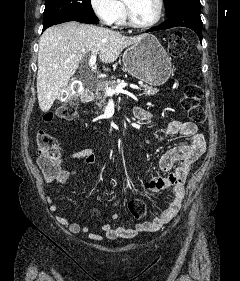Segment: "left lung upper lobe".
Returning a JSON list of instances; mask_svg holds the SVG:
<instances>
[{
	"instance_id": "1",
	"label": "left lung upper lobe",
	"mask_w": 240,
	"mask_h": 281,
	"mask_svg": "<svg viewBox=\"0 0 240 281\" xmlns=\"http://www.w3.org/2000/svg\"><path fill=\"white\" fill-rule=\"evenodd\" d=\"M167 17L187 9L201 10L200 0H164Z\"/></svg>"
}]
</instances>
